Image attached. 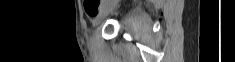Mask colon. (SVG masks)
Masks as SVG:
<instances>
[{"instance_id": "5ec220e1", "label": "colon", "mask_w": 235, "mask_h": 62, "mask_svg": "<svg viewBox=\"0 0 235 62\" xmlns=\"http://www.w3.org/2000/svg\"><path fill=\"white\" fill-rule=\"evenodd\" d=\"M98 0H87L85 3L86 11L91 14L97 6Z\"/></svg>"}]
</instances>
